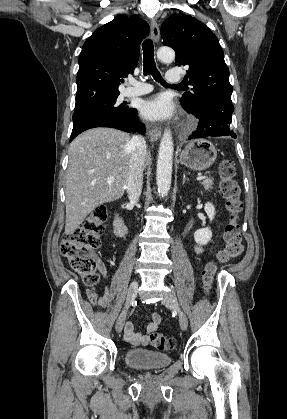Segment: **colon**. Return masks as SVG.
<instances>
[{"instance_id":"obj_1","label":"colon","mask_w":287,"mask_h":419,"mask_svg":"<svg viewBox=\"0 0 287 419\" xmlns=\"http://www.w3.org/2000/svg\"><path fill=\"white\" fill-rule=\"evenodd\" d=\"M235 173V167L231 161L221 162L219 192L225 199L229 217L224 228L225 247L219 252L216 261L209 263L204 270L203 283L206 292L211 289L218 265L239 258L244 249L239 224V214L243 204ZM106 220V207L94 208L78 228L64 236L61 243V253L69 260L71 267L83 276L88 286H95L99 279L100 263L95 252L100 246V236L104 232ZM150 340L151 344L159 350L172 349L176 343L173 338L159 333L152 334Z\"/></svg>"}]
</instances>
